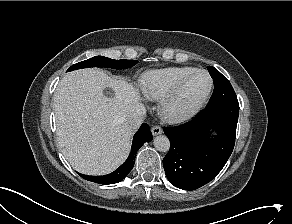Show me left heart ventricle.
I'll return each mask as SVG.
<instances>
[{"label":"left heart ventricle","mask_w":292,"mask_h":224,"mask_svg":"<svg viewBox=\"0 0 292 224\" xmlns=\"http://www.w3.org/2000/svg\"><path fill=\"white\" fill-rule=\"evenodd\" d=\"M209 84V77L205 73H197L193 75L185 84L174 105V109L176 111H184L194 106L204 97L209 88Z\"/></svg>","instance_id":"obj_1"}]
</instances>
